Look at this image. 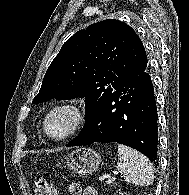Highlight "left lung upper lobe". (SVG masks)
<instances>
[{
  "instance_id": "5c2ea615",
  "label": "left lung upper lobe",
  "mask_w": 189,
  "mask_h": 195,
  "mask_svg": "<svg viewBox=\"0 0 189 195\" xmlns=\"http://www.w3.org/2000/svg\"><path fill=\"white\" fill-rule=\"evenodd\" d=\"M147 70V56L135 31L114 19L79 30L49 66L33 103L85 98L87 120L119 87Z\"/></svg>"
}]
</instances>
